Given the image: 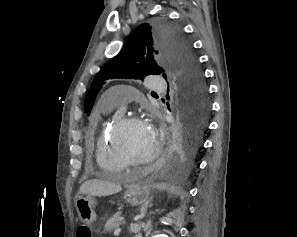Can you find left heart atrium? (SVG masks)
I'll return each instance as SVG.
<instances>
[{"instance_id":"1","label":"left heart atrium","mask_w":297,"mask_h":237,"mask_svg":"<svg viewBox=\"0 0 297 237\" xmlns=\"http://www.w3.org/2000/svg\"><path fill=\"white\" fill-rule=\"evenodd\" d=\"M147 125H148L151 133L153 134V136L156 138V130H155V128L151 124H147Z\"/></svg>"}]
</instances>
